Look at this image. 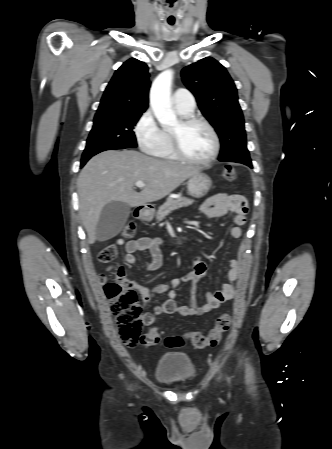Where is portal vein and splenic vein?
<instances>
[{
	"label": "portal vein and splenic vein",
	"instance_id": "1",
	"mask_svg": "<svg viewBox=\"0 0 332 449\" xmlns=\"http://www.w3.org/2000/svg\"><path fill=\"white\" fill-rule=\"evenodd\" d=\"M135 185H136L138 188H143L146 184H145L144 182H142V181H137V182L135 183Z\"/></svg>",
	"mask_w": 332,
	"mask_h": 449
}]
</instances>
